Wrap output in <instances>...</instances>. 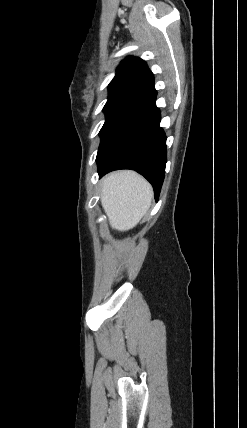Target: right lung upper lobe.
<instances>
[{
    "label": "right lung upper lobe",
    "instance_id": "obj_1",
    "mask_svg": "<svg viewBox=\"0 0 247 428\" xmlns=\"http://www.w3.org/2000/svg\"><path fill=\"white\" fill-rule=\"evenodd\" d=\"M153 86V74L146 63L140 58L128 57L118 67L108 87L109 92H133L140 95Z\"/></svg>",
    "mask_w": 247,
    "mask_h": 428
}]
</instances>
